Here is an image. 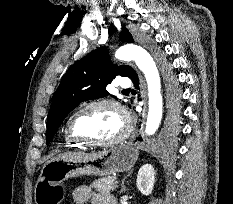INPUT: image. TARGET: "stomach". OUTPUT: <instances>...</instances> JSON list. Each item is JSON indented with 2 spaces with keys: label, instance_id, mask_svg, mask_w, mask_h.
<instances>
[{
  "label": "stomach",
  "instance_id": "stomach-1",
  "mask_svg": "<svg viewBox=\"0 0 233 204\" xmlns=\"http://www.w3.org/2000/svg\"><path fill=\"white\" fill-rule=\"evenodd\" d=\"M138 156V148L132 143H126L103 151L75 154L48 161L35 185V203L60 204L64 197L63 181L82 175L102 177L129 171Z\"/></svg>",
  "mask_w": 233,
  "mask_h": 204
}]
</instances>
